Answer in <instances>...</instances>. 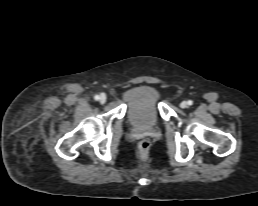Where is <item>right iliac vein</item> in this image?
<instances>
[{
    "mask_svg": "<svg viewBox=\"0 0 258 206\" xmlns=\"http://www.w3.org/2000/svg\"><path fill=\"white\" fill-rule=\"evenodd\" d=\"M106 99H107V97H106L105 94H101L99 96V102L102 103V104H104L106 102Z\"/></svg>",
    "mask_w": 258,
    "mask_h": 206,
    "instance_id": "right-iliac-vein-1",
    "label": "right iliac vein"
}]
</instances>
